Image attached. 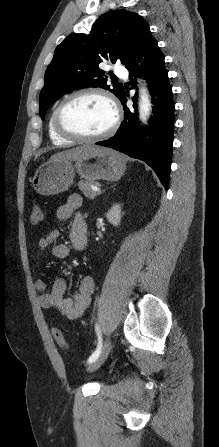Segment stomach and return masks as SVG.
<instances>
[{
  "label": "stomach",
  "instance_id": "0dacf381",
  "mask_svg": "<svg viewBox=\"0 0 219 447\" xmlns=\"http://www.w3.org/2000/svg\"><path fill=\"white\" fill-rule=\"evenodd\" d=\"M125 169L126 163L121 154L103 148L90 157L77 161H47L36 170L32 186L41 195H55L69 189L76 172L81 178L91 182L99 179L117 181Z\"/></svg>",
  "mask_w": 219,
  "mask_h": 447
}]
</instances>
